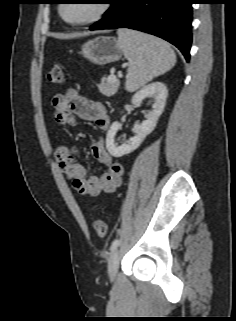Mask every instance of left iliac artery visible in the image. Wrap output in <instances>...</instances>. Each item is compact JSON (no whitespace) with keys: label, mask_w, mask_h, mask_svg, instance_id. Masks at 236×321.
<instances>
[{"label":"left iliac artery","mask_w":236,"mask_h":321,"mask_svg":"<svg viewBox=\"0 0 236 321\" xmlns=\"http://www.w3.org/2000/svg\"><path fill=\"white\" fill-rule=\"evenodd\" d=\"M118 244H119V240L118 239L114 240L111 244V248H110L111 251H113L118 246Z\"/></svg>","instance_id":"left-iliac-artery-1"}]
</instances>
